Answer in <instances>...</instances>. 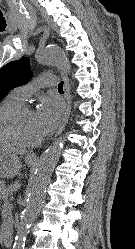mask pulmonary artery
<instances>
[{
    "label": "pulmonary artery",
    "instance_id": "obj_1",
    "mask_svg": "<svg viewBox=\"0 0 135 249\" xmlns=\"http://www.w3.org/2000/svg\"><path fill=\"white\" fill-rule=\"evenodd\" d=\"M57 85V77L50 73H42L37 78L23 86L15 88L12 93L20 100H27L35 91L41 88H53Z\"/></svg>",
    "mask_w": 135,
    "mask_h": 249
}]
</instances>
